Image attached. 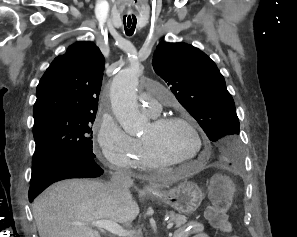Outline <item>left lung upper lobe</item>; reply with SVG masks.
Wrapping results in <instances>:
<instances>
[{
    "mask_svg": "<svg viewBox=\"0 0 297 237\" xmlns=\"http://www.w3.org/2000/svg\"><path fill=\"white\" fill-rule=\"evenodd\" d=\"M153 68L198 121L222 159L241 156L239 120L223 75L204 52L185 43H160Z\"/></svg>",
    "mask_w": 297,
    "mask_h": 237,
    "instance_id": "left-lung-upper-lobe-1",
    "label": "left lung upper lobe"
}]
</instances>
